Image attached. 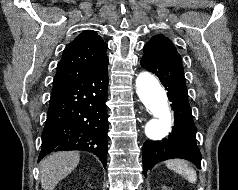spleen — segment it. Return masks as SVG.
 <instances>
[{"mask_svg": "<svg viewBox=\"0 0 238 190\" xmlns=\"http://www.w3.org/2000/svg\"><path fill=\"white\" fill-rule=\"evenodd\" d=\"M166 166L186 178L190 183H196L197 174L196 171L184 160H168Z\"/></svg>", "mask_w": 238, "mask_h": 190, "instance_id": "obj_1", "label": "spleen"}]
</instances>
